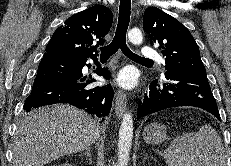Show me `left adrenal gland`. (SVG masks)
Segmentation results:
<instances>
[{
    "instance_id": "1",
    "label": "left adrenal gland",
    "mask_w": 231,
    "mask_h": 166,
    "mask_svg": "<svg viewBox=\"0 0 231 166\" xmlns=\"http://www.w3.org/2000/svg\"><path fill=\"white\" fill-rule=\"evenodd\" d=\"M143 154H144V160H143V162H145V160H146L148 157H150L151 159H153V157H152L151 155H148L145 151L143 152Z\"/></svg>"
}]
</instances>
